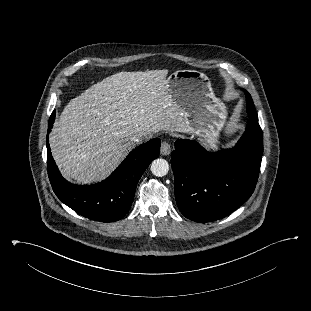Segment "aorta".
Wrapping results in <instances>:
<instances>
[{"label":"aorta","instance_id":"762f6f07","mask_svg":"<svg viewBox=\"0 0 311 311\" xmlns=\"http://www.w3.org/2000/svg\"><path fill=\"white\" fill-rule=\"evenodd\" d=\"M150 169L153 175L162 177L168 173L169 164L165 159L158 158L151 163Z\"/></svg>","mask_w":311,"mask_h":311}]
</instances>
